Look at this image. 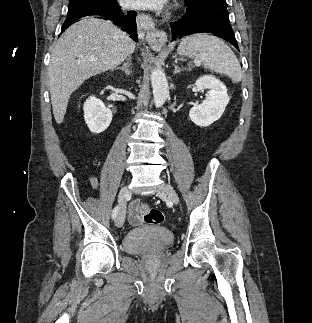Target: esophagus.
I'll return each mask as SVG.
<instances>
[{"mask_svg": "<svg viewBox=\"0 0 312 323\" xmlns=\"http://www.w3.org/2000/svg\"><path fill=\"white\" fill-rule=\"evenodd\" d=\"M137 30L140 37H145L147 43L154 49H161L167 42V35L158 30L149 14L138 13L136 16Z\"/></svg>", "mask_w": 312, "mask_h": 323, "instance_id": "34e87169", "label": "esophagus"}]
</instances>
